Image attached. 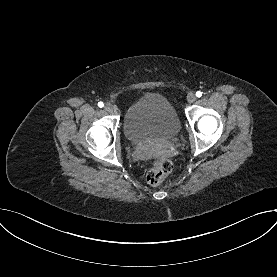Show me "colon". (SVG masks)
<instances>
[{"instance_id": "colon-1", "label": "colon", "mask_w": 277, "mask_h": 277, "mask_svg": "<svg viewBox=\"0 0 277 277\" xmlns=\"http://www.w3.org/2000/svg\"><path fill=\"white\" fill-rule=\"evenodd\" d=\"M173 164L169 159H157L148 171L146 180L150 185L161 184L166 176L172 171Z\"/></svg>"}]
</instances>
